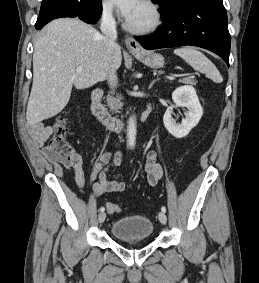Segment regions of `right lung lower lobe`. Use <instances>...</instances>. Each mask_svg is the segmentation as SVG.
Returning a JSON list of instances; mask_svg holds the SVG:
<instances>
[{"label":"right lung lower lobe","mask_w":259,"mask_h":283,"mask_svg":"<svg viewBox=\"0 0 259 283\" xmlns=\"http://www.w3.org/2000/svg\"><path fill=\"white\" fill-rule=\"evenodd\" d=\"M101 12V0H43L35 28L40 30L51 20L61 17H79L95 24Z\"/></svg>","instance_id":"right-lung-lower-lobe-1"}]
</instances>
